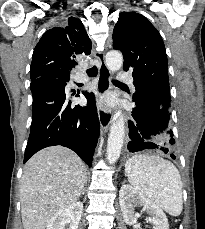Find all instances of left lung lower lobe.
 Masks as SVG:
<instances>
[{
	"instance_id": "left-lung-lower-lobe-1",
	"label": "left lung lower lobe",
	"mask_w": 205,
	"mask_h": 229,
	"mask_svg": "<svg viewBox=\"0 0 205 229\" xmlns=\"http://www.w3.org/2000/svg\"><path fill=\"white\" fill-rule=\"evenodd\" d=\"M133 120H129L128 149L130 152L146 148L160 149L165 154L174 153L175 143L170 127V108L157 99L147 98L146 102H135ZM170 156L175 159L174 154Z\"/></svg>"
}]
</instances>
